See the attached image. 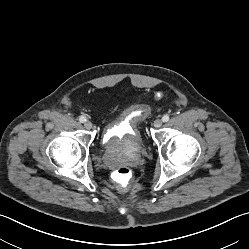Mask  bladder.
I'll return each instance as SVG.
<instances>
[{
	"instance_id": "31cf9c89",
	"label": "bladder",
	"mask_w": 249,
	"mask_h": 249,
	"mask_svg": "<svg viewBox=\"0 0 249 249\" xmlns=\"http://www.w3.org/2000/svg\"><path fill=\"white\" fill-rule=\"evenodd\" d=\"M150 109L144 104L128 107L123 115L107 125L102 147L107 155L124 148L142 150L144 142L140 133L141 123L148 117ZM133 116L130 118V116Z\"/></svg>"
}]
</instances>
